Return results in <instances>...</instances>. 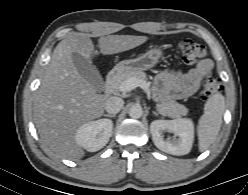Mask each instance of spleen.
Masks as SVG:
<instances>
[{
	"label": "spleen",
	"mask_w": 248,
	"mask_h": 195,
	"mask_svg": "<svg viewBox=\"0 0 248 195\" xmlns=\"http://www.w3.org/2000/svg\"><path fill=\"white\" fill-rule=\"evenodd\" d=\"M225 110V98L222 94L212 95L204 106V114L200 117L197 127L199 150H207L216 140L222 124Z\"/></svg>",
	"instance_id": "1"
}]
</instances>
